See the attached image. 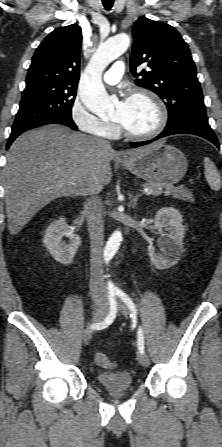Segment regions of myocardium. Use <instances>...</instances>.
I'll return each instance as SVG.
<instances>
[{
    "label": "myocardium",
    "mask_w": 222,
    "mask_h": 447,
    "mask_svg": "<svg viewBox=\"0 0 222 447\" xmlns=\"http://www.w3.org/2000/svg\"><path fill=\"white\" fill-rule=\"evenodd\" d=\"M136 97H145L149 99L156 107L158 112V123L156 127L149 132L137 134L130 132L119 121H117L118 130L123 136L131 140H148L154 138L158 136L165 129L168 123V112L166 106L164 102L155 93L146 89L133 90L129 94L128 99H133Z\"/></svg>",
    "instance_id": "1"
}]
</instances>
